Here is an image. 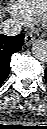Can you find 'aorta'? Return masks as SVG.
Listing matches in <instances>:
<instances>
[{"label": "aorta", "instance_id": "1", "mask_svg": "<svg viewBox=\"0 0 47 129\" xmlns=\"http://www.w3.org/2000/svg\"><path fill=\"white\" fill-rule=\"evenodd\" d=\"M32 54L33 56L41 61H47V41L44 39H38L32 44Z\"/></svg>", "mask_w": 47, "mask_h": 129}]
</instances>
